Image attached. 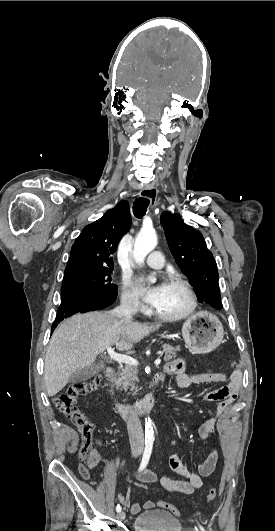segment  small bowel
Segmentation results:
<instances>
[{
  "mask_svg": "<svg viewBox=\"0 0 275 531\" xmlns=\"http://www.w3.org/2000/svg\"><path fill=\"white\" fill-rule=\"evenodd\" d=\"M166 373L174 376L176 385L185 389L194 384L200 383H213L220 384L228 380L225 373L222 372H201V373H188L186 371V363L182 359H175L166 365ZM242 382V373L239 370L233 371L229 377L228 390L229 395L222 400L216 410V417L222 416L231 404L236 400ZM206 401L217 400L213 394H206L203 397ZM216 417L207 419L199 428L198 434L200 439L206 443L208 439L215 435V423ZM82 448V445L80 446ZM88 459H98L100 462L101 455L98 451H92ZM218 452L215 448H211L204 460L198 465L197 471H194L187 467L184 462L183 456L180 452H173L169 459V466L180 476L186 480L176 479L169 476L160 478L159 482L164 489L172 493H182L189 495L195 490L200 489L204 482V478H210L218 464ZM82 477H92V475H81ZM136 479H142L146 485L153 484L158 481L157 475L150 469L139 466L136 470ZM131 488L124 489L118 500L120 504L127 507L132 515H138L142 508L145 510H151L154 508V503L151 500H147L140 505L138 503H131Z\"/></svg>",
  "mask_w": 275,
  "mask_h": 531,
  "instance_id": "obj_1",
  "label": "small bowel"
}]
</instances>
